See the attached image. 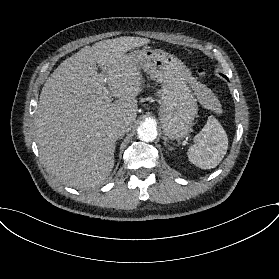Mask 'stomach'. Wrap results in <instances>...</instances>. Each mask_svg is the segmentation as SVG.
<instances>
[{"label": "stomach", "mask_w": 279, "mask_h": 279, "mask_svg": "<svg viewBox=\"0 0 279 279\" xmlns=\"http://www.w3.org/2000/svg\"><path fill=\"white\" fill-rule=\"evenodd\" d=\"M143 71L162 84L158 117L166 141L188 136L197 114L196 96L189 69L176 56L162 49L144 48L134 53Z\"/></svg>", "instance_id": "stomach-1"}]
</instances>
